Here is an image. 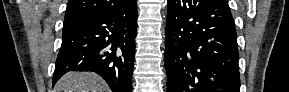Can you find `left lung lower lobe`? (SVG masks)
I'll use <instances>...</instances> for the list:
<instances>
[{"label":"left lung lower lobe","instance_id":"0a47b994","mask_svg":"<svg viewBox=\"0 0 289 92\" xmlns=\"http://www.w3.org/2000/svg\"><path fill=\"white\" fill-rule=\"evenodd\" d=\"M167 92H240L237 36L226 0H168Z\"/></svg>","mask_w":289,"mask_h":92}]
</instances>
